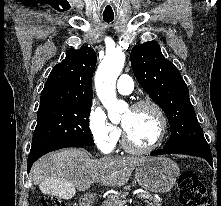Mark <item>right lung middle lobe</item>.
Instances as JSON below:
<instances>
[{
    "label": "right lung middle lobe",
    "mask_w": 221,
    "mask_h": 206,
    "mask_svg": "<svg viewBox=\"0 0 221 206\" xmlns=\"http://www.w3.org/2000/svg\"><path fill=\"white\" fill-rule=\"evenodd\" d=\"M91 105L39 108L30 154L67 144L94 146L88 124Z\"/></svg>",
    "instance_id": "1"
}]
</instances>
